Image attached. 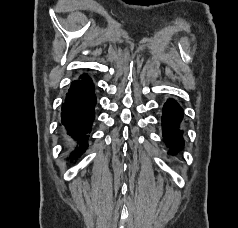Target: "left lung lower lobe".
<instances>
[{
  "label": "left lung lower lobe",
  "instance_id": "0a47b994",
  "mask_svg": "<svg viewBox=\"0 0 238 228\" xmlns=\"http://www.w3.org/2000/svg\"><path fill=\"white\" fill-rule=\"evenodd\" d=\"M182 117L179 104L173 99L168 100L163 108L162 126L164 141L170 147V153H176L183 147L182 132L179 130Z\"/></svg>",
  "mask_w": 238,
  "mask_h": 228
}]
</instances>
